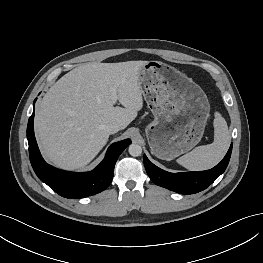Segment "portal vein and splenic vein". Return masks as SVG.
Masks as SVG:
<instances>
[{
  "instance_id": "1",
  "label": "portal vein and splenic vein",
  "mask_w": 263,
  "mask_h": 263,
  "mask_svg": "<svg viewBox=\"0 0 263 263\" xmlns=\"http://www.w3.org/2000/svg\"><path fill=\"white\" fill-rule=\"evenodd\" d=\"M112 99H113V102L115 103L118 99V96H117V93L115 91V88L112 90Z\"/></svg>"
}]
</instances>
